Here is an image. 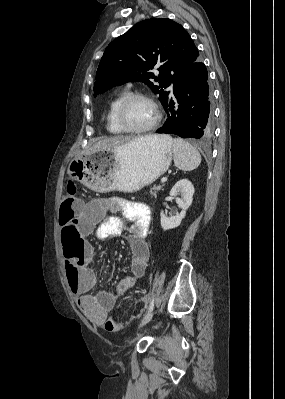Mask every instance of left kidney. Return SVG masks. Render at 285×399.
I'll return each mask as SVG.
<instances>
[{
	"instance_id": "obj_1",
	"label": "left kidney",
	"mask_w": 285,
	"mask_h": 399,
	"mask_svg": "<svg viewBox=\"0 0 285 399\" xmlns=\"http://www.w3.org/2000/svg\"><path fill=\"white\" fill-rule=\"evenodd\" d=\"M194 187L188 179L178 181L170 191V196L176 197V203L181 208L180 214L167 217L163 211L160 213V223L163 230H169L178 227L186 215V210L193 201ZM180 195V197H178Z\"/></svg>"
}]
</instances>
